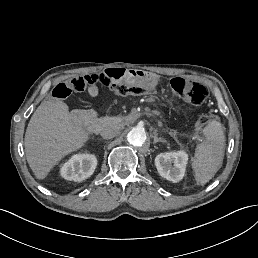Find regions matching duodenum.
<instances>
[{
  "label": "duodenum",
  "mask_w": 258,
  "mask_h": 258,
  "mask_svg": "<svg viewBox=\"0 0 258 258\" xmlns=\"http://www.w3.org/2000/svg\"><path fill=\"white\" fill-rule=\"evenodd\" d=\"M135 74L127 68L115 67L107 69L99 75V80L105 86L115 85L122 83L126 80L132 79Z\"/></svg>",
  "instance_id": "duodenum-1"
}]
</instances>
